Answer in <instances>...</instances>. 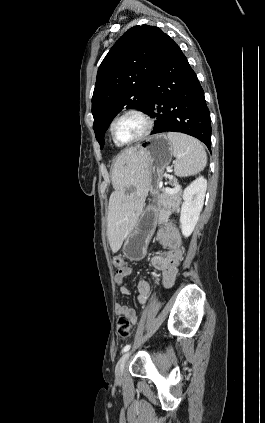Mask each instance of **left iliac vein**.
Segmentation results:
<instances>
[{"label":"left iliac vein","instance_id":"4c4485c4","mask_svg":"<svg viewBox=\"0 0 265 423\" xmlns=\"http://www.w3.org/2000/svg\"><path fill=\"white\" fill-rule=\"evenodd\" d=\"M130 355H131V352L128 351V352L124 353L120 357V359L118 360L116 367H115V377H116L117 381H120L122 379L124 368H125V365H126L128 359H129Z\"/></svg>","mask_w":265,"mask_h":423}]
</instances>
